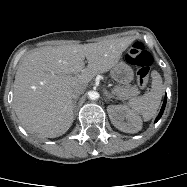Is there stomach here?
Returning <instances> with one entry per match:
<instances>
[{"label":"stomach","mask_w":187,"mask_h":187,"mask_svg":"<svg viewBox=\"0 0 187 187\" xmlns=\"http://www.w3.org/2000/svg\"><path fill=\"white\" fill-rule=\"evenodd\" d=\"M111 76L115 81L127 84L133 80L134 72L127 63L121 61L112 68Z\"/></svg>","instance_id":"0dacf381"}]
</instances>
